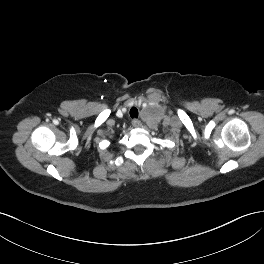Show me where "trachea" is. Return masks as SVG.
Returning a JSON list of instances; mask_svg holds the SVG:
<instances>
[{
    "label": "trachea",
    "mask_w": 264,
    "mask_h": 264,
    "mask_svg": "<svg viewBox=\"0 0 264 264\" xmlns=\"http://www.w3.org/2000/svg\"><path fill=\"white\" fill-rule=\"evenodd\" d=\"M131 118H138V109L136 107H132L130 109Z\"/></svg>",
    "instance_id": "1"
}]
</instances>
